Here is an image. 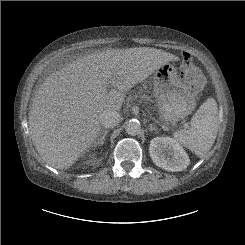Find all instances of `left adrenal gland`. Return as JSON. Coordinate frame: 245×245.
<instances>
[{
  "instance_id": "left-adrenal-gland-1",
  "label": "left adrenal gland",
  "mask_w": 245,
  "mask_h": 245,
  "mask_svg": "<svg viewBox=\"0 0 245 245\" xmlns=\"http://www.w3.org/2000/svg\"><path fill=\"white\" fill-rule=\"evenodd\" d=\"M149 131L152 132V131H157V128L153 125V124H150L149 125Z\"/></svg>"
}]
</instances>
